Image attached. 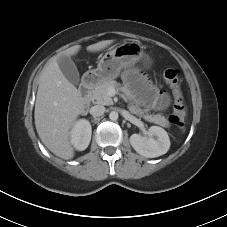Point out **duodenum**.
Here are the masks:
<instances>
[{
  "instance_id": "obj_1",
  "label": "duodenum",
  "mask_w": 227,
  "mask_h": 227,
  "mask_svg": "<svg viewBox=\"0 0 227 227\" xmlns=\"http://www.w3.org/2000/svg\"><path fill=\"white\" fill-rule=\"evenodd\" d=\"M94 77L91 76V75H87L83 78V81H82V84H81V87H80V92H81V107H85L88 105L89 103V93H90V90L92 89L93 87V84H94Z\"/></svg>"
}]
</instances>
